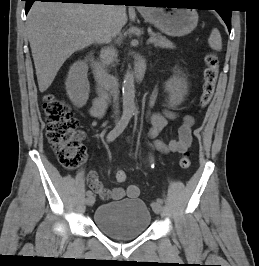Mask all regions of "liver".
Returning a JSON list of instances; mask_svg holds the SVG:
<instances>
[{
	"label": "liver",
	"mask_w": 259,
	"mask_h": 266,
	"mask_svg": "<svg viewBox=\"0 0 259 266\" xmlns=\"http://www.w3.org/2000/svg\"><path fill=\"white\" fill-rule=\"evenodd\" d=\"M127 22L123 5L35 2L27 16V34L39 91L52 84L63 63L76 51L106 40L112 23Z\"/></svg>",
	"instance_id": "6515ba94"
}]
</instances>
